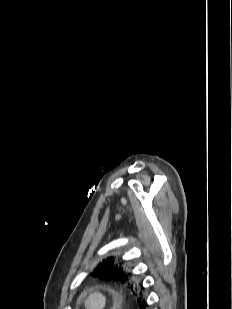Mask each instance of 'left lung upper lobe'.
<instances>
[{
  "label": "left lung upper lobe",
  "instance_id": "5c2ea615",
  "mask_svg": "<svg viewBox=\"0 0 232 309\" xmlns=\"http://www.w3.org/2000/svg\"><path fill=\"white\" fill-rule=\"evenodd\" d=\"M94 277L105 281H113L119 283H129L132 279V274L124 267L122 262L117 263L113 257L104 259L102 263H99L95 269L90 273ZM131 293L134 298L137 299L138 305L145 302L143 297V289L139 286L131 285Z\"/></svg>",
  "mask_w": 232,
  "mask_h": 309
}]
</instances>
